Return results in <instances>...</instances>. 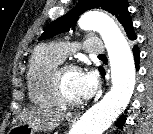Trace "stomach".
<instances>
[{
	"instance_id": "1",
	"label": "stomach",
	"mask_w": 153,
	"mask_h": 134,
	"mask_svg": "<svg viewBox=\"0 0 153 134\" xmlns=\"http://www.w3.org/2000/svg\"><path fill=\"white\" fill-rule=\"evenodd\" d=\"M42 130L45 129L38 126L35 122H20L10 130V134H36Z\"/></svg>"
}]
</instances>
